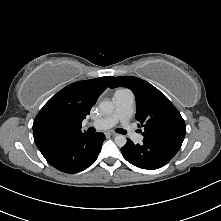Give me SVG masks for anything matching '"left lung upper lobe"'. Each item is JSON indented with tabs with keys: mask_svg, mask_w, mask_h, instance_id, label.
Instances as JSON below:
<instances>
[{
	"mask_svg": "<svg viewBox=\"0 0 221 221\" xmlns=\"http://www.w3.org/2000/svg\"><path fill=\"white\" fill-rule=\"evenodd\" d=\"M131 89L136 98V119L144 127V141L178 146L186 133L185 122L167 97L150 83L130 76L116 77L111 87Z\"/></svg>",
	"mask_w": 221,
	"mask_h": 221,
	"instance_id": "left-lung-upper-lobe-1",
	"label": "left lung upper lobe"
}]
</instances>
